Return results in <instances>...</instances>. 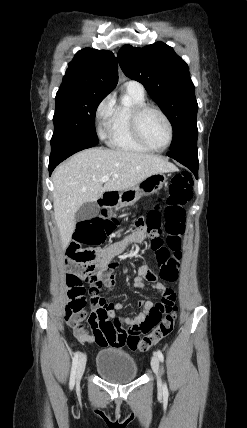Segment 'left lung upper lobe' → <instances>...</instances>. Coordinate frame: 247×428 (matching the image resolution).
Wrapping results in <instances>:
<instances>
[{"label": "left lung upper lobe", "instance_id": "5c2ea615", "mask_svg": "<svg viewBox=\"0 0 247 428\" xmlns=\"http://www.w3.org/2000/svg\"><path fill=\"white\" fill-rule=\"evenodd\" d=\"M125 75L143 84L174 129L172 152L197 149L198 104L188 66L172 47L157 42L143 48L124 45L118 52Z\"/></svg>", "mask_w": 247, "mask_h": 428}]
</instances>
